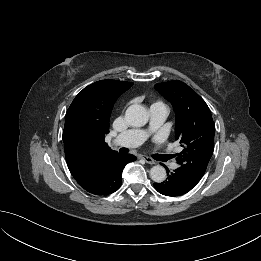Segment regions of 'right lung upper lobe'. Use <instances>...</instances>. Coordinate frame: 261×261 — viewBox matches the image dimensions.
I'll return each mask as SVG.
<instances>
[{"instance_id": "cb5924a9", "label": "right lung upper lobe", "mask_w": 261, "mask_h": 261, "mask_svg": "<svg viewBox=\"0 0 261 261\" xmlns=\"http://www.w3.org/2000/svg\"><path fill=\"white\" fill-rule=\"evenodd\" d=\"M133 83L102 80L85 87L67 110L63 131L65 157L75 178H84L101 160L117 153L105 143L117 98Z\"/></svg>"}]
</instances>
